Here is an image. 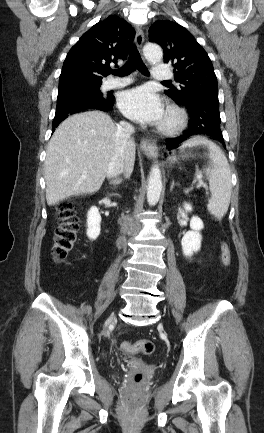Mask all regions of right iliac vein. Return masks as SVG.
<instances>
[{
    "instance_id": "63e3f726",
    "label": "right iliac vein",
    "mask_w": 264,
    "mask_h": 433,
    "mask_svg": "<svg viewBox=\"0 0 264 433\" xmlns=\"http://www.w3.org/2000/svg\"><path fill=\"white\" fill-rule=\"evenodd\" d=\"M114 318V315H111L110 318L108 319V321L106 322V325L109 324V322Z\"/></svg>"
}]
</instances>
